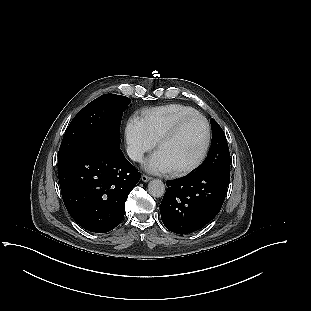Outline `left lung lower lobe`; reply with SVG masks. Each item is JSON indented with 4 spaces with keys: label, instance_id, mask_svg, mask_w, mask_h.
<instances>
[{
    "label": "left lung lower lobe",
    "instance_id": "obj_1",
    "mask_svg": "<svg viewBox=\"0 0 311 311\" xmlns=\"http://www.w3.org/2000/svg\"><path fill=\"white\" fill-rule=\"evenodd\" d=\"M229 181V175L205 171L166 182L168 188L160 205L165 227L177 234L204 227L219 213Z\"/></svg>",
    "mask_w": 311,
    "mask_h": 311
}]
</instances>
